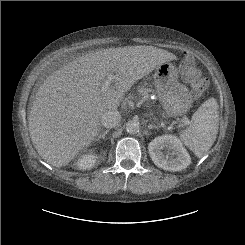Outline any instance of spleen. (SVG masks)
Here are the masks:
<instances>
[{
  "label": "spleen",
  "instance_id": "1",
  "mask_svg": "<svg viewBox=\"0 0 245 245\" xmlns=\"http://www.w3.org/2000/svg\"><path fill=\"white\" fill-rule=\"evenodd\" d=\"M215 98L206 100L193 114L191 125L180 133V140L197 157H203L213 145L219 126V111Z\"/></svg>",
  "mask_w": 245,
  "mask_h": 245
}]
</instances>
